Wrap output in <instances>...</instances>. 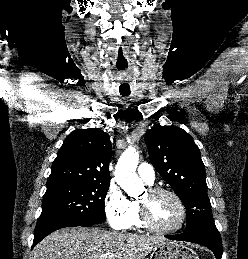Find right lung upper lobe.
<instances>
[{
	"mask_svg": "<svg viewBox=\"0 0 248 259\" xmlns=\"http://www.w3.org/2000/svg\"><path fill=\"white\" fill-rule=\"evenodd\" d=\"M111 143L104 131L76 129L63 142L47 184L98 182L110 183Z\"/></svg>",
	"mask_w": 248,
	"mask_h": 259,
	"instance_id": "right-lung-upper-lobe-1",
	"label": "right lung upper lobe"
}]
</instances>
